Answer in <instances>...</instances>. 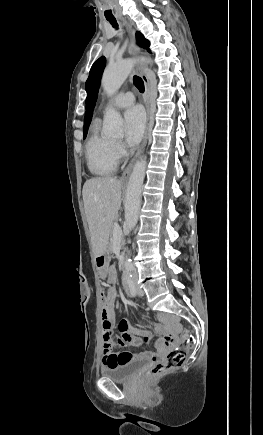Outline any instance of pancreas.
Wrapping results in <instances>:
<instances>
[{"label": "pancreas", "mask_w": 263, "mask_h": 435, "mask_svg": "<svg viewBox=\"0 0 263 435\" xmlns=\"http://www.w3.org/2000/svg\"><path fill=\"white\" fill-rule=\"evenodd\" d=\"M113 242H114V237H113V230H112V232H111V239H110V245H109V249L111 250V248H112V244H113Z\"/></svg>", "instance_id": "cf45deb5"}]
</instances>
